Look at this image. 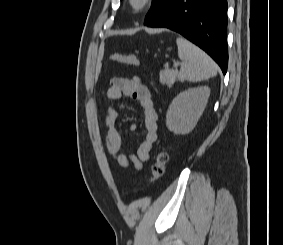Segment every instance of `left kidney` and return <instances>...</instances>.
I'll use <instances>...</instances> for the list:
<instances>
[{"label": "left kidney", "instance_id": "left-kidney-1", "mask_svg": "<svg viewBox=\"0 0 283 245\" xmlns=\"http://www.w3.org/2000/svg\"><path fill=\"white\" fill-rule=\"evenodd\" d=\"M209 87L191 88L178 94L166 114V126L175 134H188L202 115L208 97Z\"/></svg>", "mask_w": 283, "mask_h": 245}]
</instances>
